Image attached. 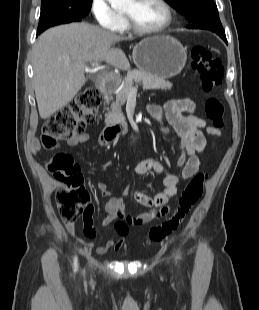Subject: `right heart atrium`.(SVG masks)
I'll return each mask as SVG.
<instances>
[{
  "instance_id": "right-heart-atrium-1",
  "label": "right heart atrium",
  "mask_w": 259,
  "mask_h": 310,
  "mask_svg": "<svg viewBox=\"0 0 259 310\" xmlns=\"http://www.w3.org/2000/svg\"><path fill=\"white\" fill-rule=\"evenodd\" d=\"M91 12L100 26L111 31H120L125 25L122 14L115 11L107 0H91Z\"/></svg>"
}]
</instances>
